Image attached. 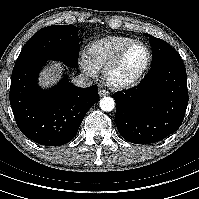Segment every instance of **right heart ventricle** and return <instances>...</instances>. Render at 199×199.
Here are the masks:
<instances>
[{"label":"right heart ventricle","instance_id":"1","mask_svg":"<svg viewBox=\"0 0 199 199\" xmlns=\"http://www.w3.org/2000/svg\"><path fill=\"white\" fill-rule=\"evenodd\" d=\"M135 42L133 38L124 36H108L92 42L88 47V55L98 70L105 69L127 45Z\"/></svg>","mask_w":199,"mask_h":199}]
</instances>
